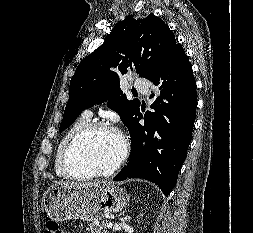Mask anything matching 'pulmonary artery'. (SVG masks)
<instances>
[{
	"label": "pulmonary artery",
	"mask_w": 253,
	"mask_h": 233,
	"mask_svg": "<svg viewBox=\"0 0 253 233\" xmlns=\"http://www.w3.org/2000/svg\"><path fill=\"white\" fill-rule=\"evenodd\" d=\"M134 87L144 96H147L149 93V84L146 80H136L134 82ZM82 115L90 118L92 116V111L87 109L82 113Z\"/></svg>",
	"instance_id": "e3ab8cb5"
}]
</instances>
